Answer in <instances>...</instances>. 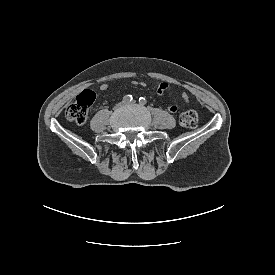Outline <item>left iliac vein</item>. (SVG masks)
Segmentation results:
<instances>
[{"mask_svg":"<svg viewBox=\"0 0 275 275\" xmlns=\"http://www.w3.org/2000/svg\"><path fill=\"white\" fill-rule=\"evenodd\" d=\"M125 104H127V103H125ZM125 104H124V105H125ZM131 104H134V102H132Z\"/></svg>","mask_w":275,"mask_h":275,"instance_id":"left-iliac-vein-1","label":"left iliac vein"}]
</instances>
